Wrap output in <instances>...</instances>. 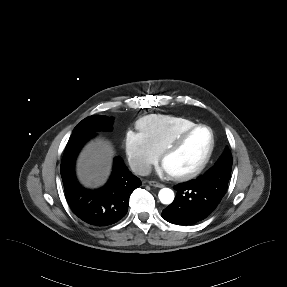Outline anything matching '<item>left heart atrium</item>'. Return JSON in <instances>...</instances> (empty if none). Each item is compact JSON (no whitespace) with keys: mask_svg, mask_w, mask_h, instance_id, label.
<instances>
[{"mask_svg":"<svg viewBox=\"0 0 287 287\" xmlns=\"http://www.w3.org/2000/svg\"><path fill=\"white\" fill-rule=\"evenodd\" d=\"M160 171L163 173H168L163 164L160 166Z\"/></svg>","mask_w":287,"mask_h":287,"instance_id":"39dd6f15","label":"left heart atrium"}]
</instances>
